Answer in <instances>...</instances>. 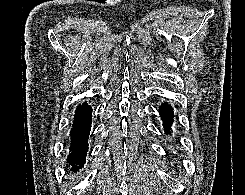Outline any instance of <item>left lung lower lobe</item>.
<instances>
[{"label": "left lung lower lobe", "mask_w": 245, "mask_h": 195, "mask_svg": "<svg viewBox=\"0 0 245 195\" xmlns=\"http://www.w3.org/2000/svg\"><path fill=\"white\" fill-rule=\"evenodd\" d=\"M159 113L161 115V118L163 120V126L167 133L168 131H170L168 126L172 123V118H173L172 108L168 106L166 103H164L160 106Z\"/></svg>", "instance_id": "obj_1"}]
</instances>
